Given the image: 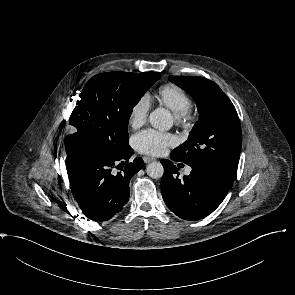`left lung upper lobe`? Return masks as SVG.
I'll return each mask as SVG.
<instances>
[{
    "label": "left lung upper lobe",
    "instance_id": "left-lung-upper-lobe-1",
    "mask_svg": "<svg viewBox=\"0 0 295 295\" xmlns=\"http://www.w3.org/2000/svg\"><path fill=\"white\" fill-rule=\"evenodd\" d=\"M169 80L194 98L199 111L188 140L172 154L191 167L213 171L232 186L242 142L234 105L216 83L203 77L169 76Z\"/></svg>",
    "mask_w": 295,
    "mask_h": 295
}]
</instances>
